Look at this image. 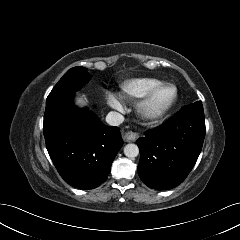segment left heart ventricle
Returning <instances> with one entry per match:
<instances>
[{
    "mask_svg": "<svg viewBox=\"0 0 240 240\" xmlns=\"http://www.w3.org/2000/svg\"><path fill=\"white\" fill-rule=\"evenodd\" d=\"M174 90L172 88H165L161 90L153 99L152 107L159 109L165 106L173 97Z\"/></svg>",
    "mask_w": 240,
    "mask_h": 240,
    "instance_id": "b2bd125f",
    "label": "left heart ventricle"
}]
</instances>
